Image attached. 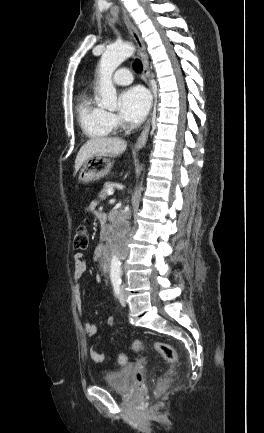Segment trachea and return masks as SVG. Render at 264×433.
Masks as SVG:
<instances>
[{
  "label": "trachea",
  "instance_id": "3493384b",
  "mask_svg": "<svg viewBox=\"0 0 264 433\" xmlns=\"http://www.w3.org/2000/svg\"><path fill=\"white\" fill-rule=\"evenodd\" d=\"M133 69L137 73L142 72V64H141V61L139 59H136L135 62L133 63Z\"/></svg>",
  "mask_w": 264,
  "mask_h": 433
}]
</instances>
